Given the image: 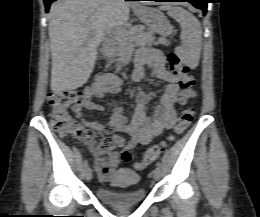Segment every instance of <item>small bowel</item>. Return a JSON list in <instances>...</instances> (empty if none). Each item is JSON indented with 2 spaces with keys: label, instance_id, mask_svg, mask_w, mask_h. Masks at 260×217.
Instances as JSON below:
<instances>
[{
  "label": "small bowel",
  "instance_id": "small-bowel-1",
  "mask_svg": "<svg viewBox=\"0 0 260 217\" xmlns=\"http://www.w3.org/2000/svg\"><path fill=\"white\" fill-rule=\"evenodd\" d=\"M148 67L152 77L166 83V88L160 103L156 106L151 116L147 115L145 105L147 94L138 92L137 107L130 120L124 115V108L115 106L112 110L111 120L105 127L98 122L87 121L83 109L102 111V105L95 103L93 97H101L104 94L115 91L116 87L122 83V80L115 75L107 74L98 79V81L86 90L88 99L79 106L72 108L75 116L80 119L87 127L94 130H106L114 133L112 140L117 147L124 145V140L118 133L128 134L131 139L128 148L133 149L140 145L149 144L164 129H171L176 122L177 103L179 100V79L165 67V57L163 53L153 49H142L136 55V67L132 73V80L137 82L144 75L145 68ZM118 154L112 155L111 165L114 168L119 160ZM124 160V159H123ZM127 161V159H125Z\"/></svg>",
  "mask_w": 260,
  "mask_h": 217
}]
</instances>
